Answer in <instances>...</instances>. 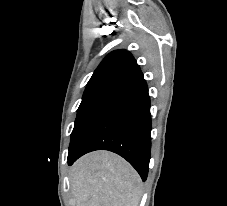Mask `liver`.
Here are the masks:
<instances>
[{"label": "liver", "mask_w": 227, "mask_h": 206, "mask_svg": "<svg viewBox=\"0 0 227 206\" xmlns=\"http://www.w3.org/2000/svg\"><path fill=\"white\" fill-rule=\"evenodd\" d=\"M69 179L76 206H138L142 196L138 173L108 151L81 157L72 166Z\"/></svg>", "instance_id": "1"}]
</instances>
